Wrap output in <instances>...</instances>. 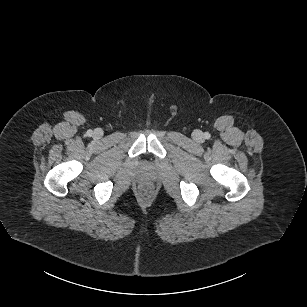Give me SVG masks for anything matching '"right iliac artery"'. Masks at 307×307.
Listing matches in <instances>:
<instances>
[{"label": "right iliac artery", "mask_w": 307, "mask_h": 307, "mask_svg": "<svg viewBox=\"0 0 307 307\" xmlns=\"http://www.w3.org/2000/svg\"><path fill=\"white\" fill-rule=\"evenodd\" d=\"M92 134H93V131H92V130L87 131V135H88V136H91Z\"/></svg>", "instance_id": "right-iliac-artery-1"}]
</instances>
